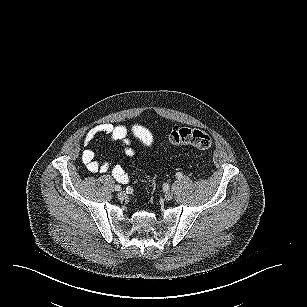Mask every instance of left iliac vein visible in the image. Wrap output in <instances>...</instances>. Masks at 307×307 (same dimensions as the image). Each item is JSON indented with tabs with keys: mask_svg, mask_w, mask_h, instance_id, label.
Returning <instances> with one entry per match:
<instances>
[{
	"mask_svg": "<svg viewBox=\"0 0 307 307\" xmlns=\"http://www.w3.org/2000/svg\"><path fill=\"white\" fill-rule=\"evenodd\" d=\"M174 197V193L172 191H167L164 193V198L168 201L172 200Z\"/></svg>",
	"mask_w": 307,
	"mask_h": 307,
	"instance_id": "obj_1",
	"label": "left iliac vein"
}]
</instances>
